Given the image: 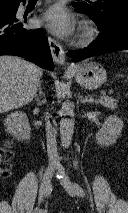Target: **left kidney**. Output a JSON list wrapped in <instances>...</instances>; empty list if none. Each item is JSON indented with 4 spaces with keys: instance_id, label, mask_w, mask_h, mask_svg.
I'll list each match as a JSON object with an SVG mask.
<instances>
[{
    "instance_id": "1",
    "label": "left kidney",
    "mask_w": 128,
    "mask_h": 213,
    "mask_svg": "<svg viewBox=\"0 0 128 213\" xmlns=\"http://www.w3.org/2000/svg\"><path fill=\"white\" fill-rule=\"evenodd\" d=\"M123 125V121L117 116L108 117L102 128L96 134L97 143L103 146L114 144L121 135Z\"/></svg>"
}]
</instances>
